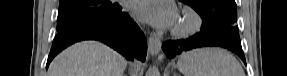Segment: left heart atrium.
<instances>
[{"label":"left heart atrium","instance_id":"obj_1","mask_svg":"<svg viewBox=\"0 0 287 76\" xmlns=\"http://www.w3.org/2000/svg\"><path fill=\"white\" fill-rule=\"evenodd\" d=\"M131 12L137 19L160 28L171 27L178 19L177 8L169 0H135Z\"/></svg>","mask_w":287,"mask_h":76}]
</instances>
